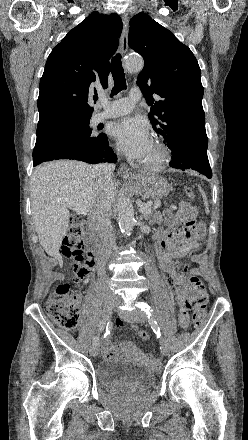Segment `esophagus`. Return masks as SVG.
I'll return each mask as SVG.
<instances>
[{"label":"esophagus","instance_id":"obj_1","mask_svg":"<svg viewBox=\"0 0 248 440\" xmlns=\"http://www.w3.org/2000/svg\"><path fill=\"white\" fill-rule=\"evenodd\" d=\"M123 21V31L121 37V54L125 55L128 51V33H129V20L126 15L122 17ZM118 173L124 178H128L132 176V172L130 168L125 163H121Z\"/></svg>","mask_w":248,"mask_h":440}]
</instances>
